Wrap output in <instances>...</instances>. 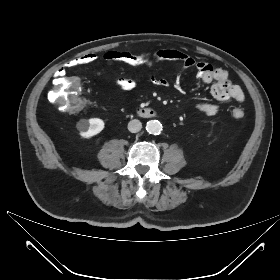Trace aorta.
I'll return each mask as SVG.
<instances>
[{
  "mask_svg": "<svg viewBox=\"0 0 280 280\" xmlns=\"http://www.w3.org/2000/svg\"><path fill=\"white\" fill-rule=\"evenodd\" d=\"M146 130L150 134L158 135L162 131V124L157 120H150L146 124Z\"/></svg>",
  "mask_w": 280,
  "mask_h": 280,
  "instance_id": "762f6f07",
  "label": "aorta"
}]
</instances>
